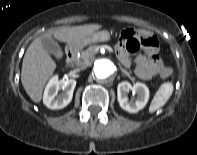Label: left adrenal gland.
Returning a JSON list of instances; mask_svg holds the SVG:
<instances>
[{"mask_svg":"<svg viewBox=\"0 0 197 155\" xmlns=\"http://www.w3.org/2000/svg\"><path fill=\"white\" fill-rule=\"evenodd\" d=\"M120 70H121V72L124 73L126 76H128L129 78H131L130 73H129L127 70L123 69L122 67H120Z\"/></svg>","mask_w":197,"mask_h":155,"instance_id":"obj_1","label":"left adrenal gland"}]
</instances>
